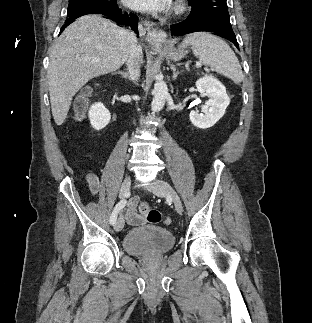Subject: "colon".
Returning a JSON list of instances; mask_svg holds the SVG:
<instances>
[{
  "mask_svg": "<svg viewBox=\"0 0 312 323\" xmlns=\"http://www.w3.org/2000/svg\"><path fill=\"white\" fill-rule=\"evenodd\" d=\"M138 210L143 213L146 214L147 217V221L151 224H157L160 223L159 221L160 219V211L152 208L149 204H147L146 202H142L139 204L138 206ZM171 220L169 218H167L166 223H164L165 225L170 224Z\"/></svg>",
  "mask_w": 312,
  "mask_h": 323,
  "instance_id": "colon-1",
  "label": "colon"
}]
</instances>
